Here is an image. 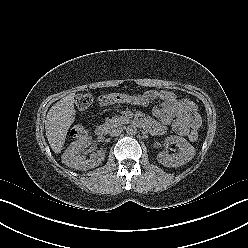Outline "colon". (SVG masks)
Returning <instances> with one entry per match:
<instances>
[{
	"label": "colon",
	"instance_id": "colon-1",
	"mask_svg": "<svg viewBox=\"0 0 248 248\" xmlns=\"http://www.w3.org/2000/svg\"><path fill=\"white\" fill-rule=\"evenodd\" d=\"M128 98L127 94L112 93L107 95H102L98 98V102L101 105L112 104V103H123L126 102ZM93 98L90 94L78 95L75 104L78 110L84 111L92 104ZM87 134V130L82 125H75L70 131V135L73 138H81ZM189 139L191 141H196L198 139L197 129L192 130L189 134Z\"/></svg>",
	"mask_w": 248,
	"mask_h": 248
}]
</instances>
